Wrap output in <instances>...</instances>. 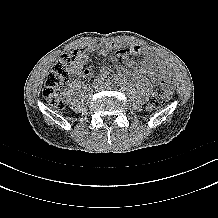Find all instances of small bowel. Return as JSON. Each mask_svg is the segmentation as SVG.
Masks as SVG:
<instances>
[{
	"instance_id": "obj_1",
	"label": "small bowel",
	"mask_w": 218,
	"mask_h": 218,
	"mask_svg": "<svg viewBox=\"0 0 218 218\" xmlns=\"http://www.w3.org/2000/svg\"><path fill=\"white\" fill-rule=\"evenodd\" d=\"M116 45L112 42H105L102 45H90L80 50H77V56L71 68V74L81 78H90L93 72L89 68H84L89 63V54L98 51L101 56H108ZM131 55H141L144 61L137 63L130 59ZM120 60L124 62V69H118L115 75L117 82H123L127 75L141 73L150 76L153 80H160L167 74L164 63L159 57L151 51L143 49L140 46H132L121 48L115 56L111 57L113 63H118ZM111 73L108 67H104L100 74L106 77ZM167 99L170 98L174 90V85L170 79H167Z\"/></svg>"
}]
</instances>
